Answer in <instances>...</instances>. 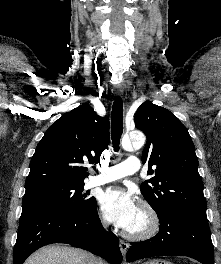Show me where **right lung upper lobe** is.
I'll return each mask as SVG.
<instances>
[{"label": "right lung upper lobe", "instance_id": "cb5924a9", "mask_svg": "<svg viewBox=\"0 0 221 264\" xmlns=\"http://www.w3.org/2000/svg\"><path fill=\"white\" fill-rule=\"evenodd\" d=\"M108 117L87 104L65 113L45 132L30 162L25 188L55 183H84L86 164L100 160L108 146Z\"/></svg>", "mask_w": 221, "mask_h": 264}]
</instances>
